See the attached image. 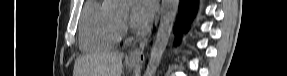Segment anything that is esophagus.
I'll return each instance as SVG.
<instances>
[{"mask_svg":"<svg viewBox=\"0 0 287 76\" xmlns=\"http://www.w3.org/2000/svg\"><path fill=\"white\" fill-rule=\"evenodd\" d=\"M148 38H145L139 47L131 50L128 54V59L133 62H143L145 60L144 49L147 45Z\"/></svg>","mask_w":287,"mask_h":76,"instance_id":"esophagus-1","label":"esophagus"}]
</instances>
